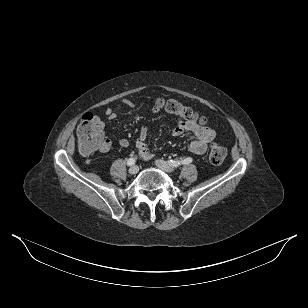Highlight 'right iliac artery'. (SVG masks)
<instances>
[{"mask_svg":"<svg viewBox=\"0 0 308 308\" xmlns=\"http://www.w3.org/2000/svg\"><path fill=\"white\" fill-rule=\"evenodd\" d=\"M135 162H136L135 158H130V159H128V161H127V165H128V166H132V165L135 164Z\"/></svg>","mask_w":308,"mask_h":308,"instance_id":"right-iliac-artery-1","label":"right iliac artery"}]
</instances>
